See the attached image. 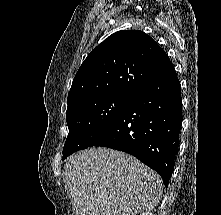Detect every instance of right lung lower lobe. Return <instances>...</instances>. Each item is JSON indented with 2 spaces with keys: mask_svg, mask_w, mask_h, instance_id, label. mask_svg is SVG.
<instances>
[{
  "mask_svg": "<svg viewBox=\"0 0 221 215\" xmlns=\"http://www.w3.org/2000/svg\"><path fill=\"white\" fill-rule=\"evenodd\" d=\"M181 85L174 66L134 93L112 125L90 146L129 153L154 169L167 187L178 151Z\"/></svg>",
  "mask_w": 221,
  "mask_h": 215,
  "instance_id": "98d812e1",
  "label": "right lung lower lobe"
}]
</instances>
